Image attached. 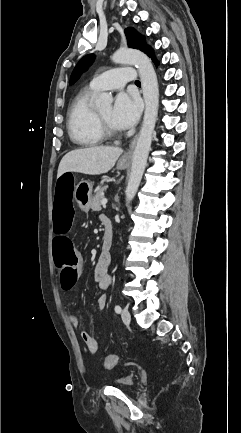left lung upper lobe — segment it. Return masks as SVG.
Returning a JSON list of instances; mask_svg holds the SVG:
<instances>
[{
	"mask_svg": "<svg viewBox=\"0 0 241 433\" xmlns=\"http://www.w3.org/2000/svg\"><path fill=\"white\" fill-rule=\"evenodd\" d=\"M125 34L127 37V43L129 47L143 51L145 54H147V56H149L152 59V61L156 64V66L158 65V62L154 57V52L152 48L145 43V38L142 35H140L132 27L127 28L125 30ZM94 57L95 56L93 54L86 55L77 63L71 75V79H70L71 82L77 80L80 77V75L85 70H87V68L94 61Z\"/></svg>",
	"mask_w": 241,
	"mask_h": 433,
	"instance_id": "obj_1",
	"label": "left lung upper lobe"
}]
</instances>
